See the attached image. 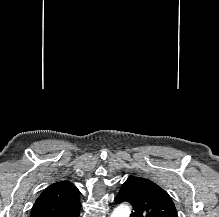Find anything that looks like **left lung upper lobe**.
Wrapping results in <instances>:
<instances>
[{"label": "left lung upper lobe", "instance_id": "left-lung-upper-lobe-1", "mask_svg": "<svg viewBox=\"0 0 219 217\" xmlns=\"http://www.w3.org/2000/svg\"><path fill=\"white\" fill-rule=\"evenodd\" d=\"M117 203L129 202L130 217H178L175 205L165 190L140 176H130L115 198Z\"/></svg>", "mask_w": 219, "mask_h": 217}]
</instances>
